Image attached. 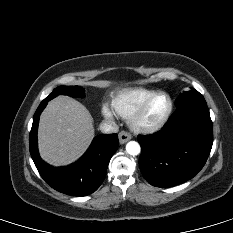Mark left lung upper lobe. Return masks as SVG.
Returning <instances> with one entry per match:
<instances>
[{"mask_svg":"<svg viewBox=\"0 0 233 233\" xmlns=\"http://www.w3.org/2000/svg\"><path fill=\"white\" fill-rule=\"evenodd\" d=\"M189 102H206L202 94L196 90L186 91L179 95L176 99L175 104L176 108L187 104Z\"/></svg>","mask_w":233,"mask_h":233,"instance_id":"obj_1","label":"left lung upper lobe"}]
</instances>
